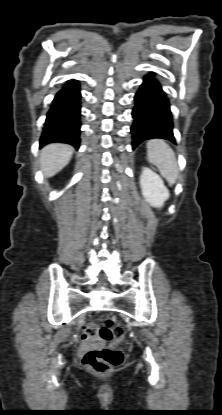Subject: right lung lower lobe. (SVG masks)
Segmentation results:
<instances>
[{
    "label": "right lung lower lobe",
    "instance_id": "obj_1",
    "mask_svg": "<svg viewBox=\"0 0 222 415\" xmlns=\"http://www.w3.org/2000/svg\"><path fill=\"white\" fill-rule=\"evenodd\" d=\"M80 85L69 80L56 94L47 114L40 146L52 142H63L79 147L80 143Z\"/></svg>",
    "mask_w": 222,
    "mask_h": 415
}]
</instances>
